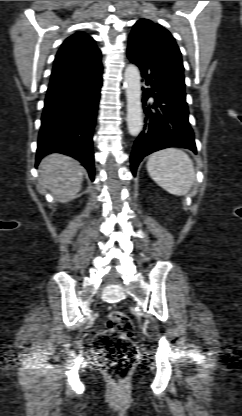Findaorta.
<instances>
[{"mask_svg":"<svg viewBox=\"0 0 242 416\" xmlns=\"http://www.w3.org/2000/svg\"><path fill=\"white\" fill-rule=\"evenodd\" d=\"M124 86L127 99V126L132 136H138L142 131L141 82L139 69L130 64L124 72Z\"/></svg>","mask_w":242,"mask_h":416,"instance_id":"1","label":"aorta"}]
</instances>
